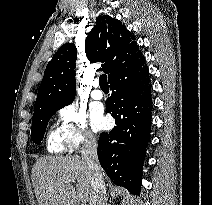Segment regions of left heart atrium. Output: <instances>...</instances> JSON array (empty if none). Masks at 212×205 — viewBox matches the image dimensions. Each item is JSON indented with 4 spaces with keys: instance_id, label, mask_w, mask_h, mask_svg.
<instances>
[{
    "instance_id": "left-heart-atrium-1",
    "label": "left heart atrium",
    "mask_w": 212,
    "mask_h": 205,
    "mask_svg": "<svg viewBox=\"0 0 212 205\" xmlns=\"http://www.w3.org/2000/svg\"><path fill=\"white\" fill-rule=\"evenodd\" d=\"M91 121L95 130L103 129L107 126V119L100 108L94 109L91 113Z\"/></svg>"
}]
</instances>
